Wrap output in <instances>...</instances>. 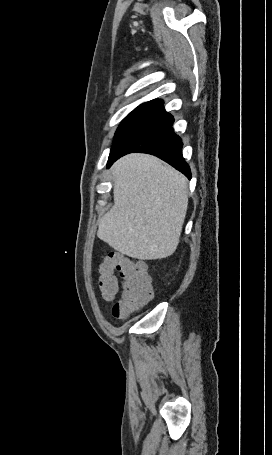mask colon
Wrapping results in <instances>:
<instances>
[{
  "label": "colon",
  "mask_w": 272,
  "mask_h": 455,
  "mask_svg": "<svg viewBox=\"0 0 272 455\" xmlns=\"http://www.w3.org/2000/svg\"><path fill=\"white\" fill-rule=\"evenodd\" d=\"M98 273L99 288L105 299L111 300L121 291V298L112 309L116 318H126L153 297L150 277L141 261L112 252L98 265Z\"/></svg>",
  "instance_id": "5ec220e1"
}]
</instances>
